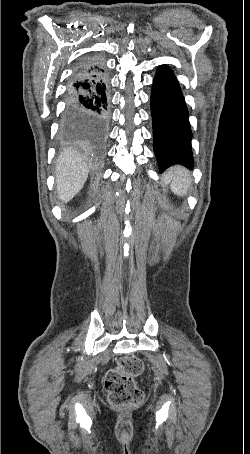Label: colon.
Returning a JSON list of instances; mask_svg holds the SVG:
<instances>
[{
    "label": "colon",
    "mask_w": 250,
    "mask_h": 454,
    "mask_svg": "<svg viewBox=\"0 0 250 454\" xmlns=\"http://www.w3.org/2000/svg\"><path fill=\"white\" fill-rule=\"evenodd\" d=\"M142 371V361L134 356L120 358L117 365L107 371L105 386L109 394V402L113 407L137 406L142 402L143 392L135 382V377Z\"/></svg>",
    "instance_id": "1"
}]
</instances>
